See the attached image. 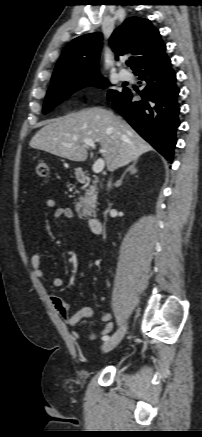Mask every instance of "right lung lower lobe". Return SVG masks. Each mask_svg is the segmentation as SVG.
<instances>
[{"label": "right lung lower lobe", "instance_id": "right-lung-lower-lobe-1", "mask_svg": "<svg viewBox=\"0 0 202 437\" xmlns=\"http://www.w3.org/2000/svg\"><path fill=\"white\" fill-rule=\"evenodd\" d=\"M144 86L141 100L125 88L109 98L112 106L127 122L167 160H173L176 132L180 125L179 88L170 58L160 60L134 71Z\"/></svg>", "mask_w": 202, "mask_h": 437}]
</instances>
